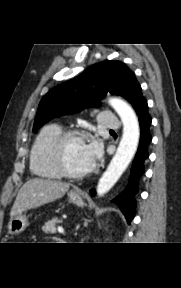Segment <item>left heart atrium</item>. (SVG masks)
<instances>
[{
	"mask_svg": "<svg viewBox=\"0 0 181 288\" xmlns=\"http://www.w3.org/2000/svg\"><path fill=\"white\" fill-rule=\"evenodd\" d=\"M86 155L91 164H93L101 153L100 144L96 141H92L86 144Z\"/></svg>",
	"mask_w": 181,
	"mask_h": 288,
	"instance_id": "39dd6f15",
	"label": "left heart atrium"
}]
</instances>
